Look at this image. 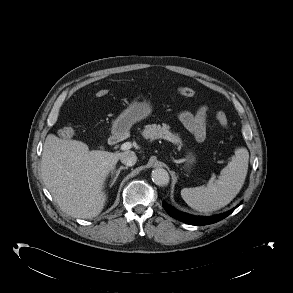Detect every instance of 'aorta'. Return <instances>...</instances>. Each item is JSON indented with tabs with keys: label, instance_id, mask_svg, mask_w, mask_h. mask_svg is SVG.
Listing matches in <instances>:
<instances>
[{
	"label": "aorta",
	"instance_id": "aorta-1",
	"mask_svg": "<svg viewBox=\"0 0 293 293\" xmlns=\"http://www.w3.org/2000/svg\"><path fill=\"white\" fill-rule=\"evenodd\" d=\"M152 181L158 186H165L169 183V174L163 168H156L151 173Z\"/></svg>",
	"mask_w": 293,
	"mask_h": 293
}]
</instances>
